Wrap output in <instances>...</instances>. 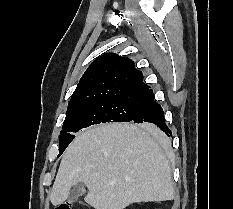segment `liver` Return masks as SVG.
<instances>
[{
    "label": "liver",
    "instance_id": "liver-1",
    "mask_svg": "<svg viewBox=\"0 0 233 209\" xmlns=\"http://www.w3.org/2000/svg\"><path fill=\"white\" fill-rule=\"evenodd\" d=\"M151 134L164 138L157 127L132 123L104 124L80 133L62 157L51 203L65 202L80 182L88 188L85 202L95 209L172 200L170 162Z\"/></svg>",
    "mask_w": 233,
    "mask_h": 209
}]
</instances>
